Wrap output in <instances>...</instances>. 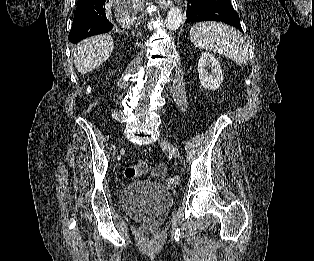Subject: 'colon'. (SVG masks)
I'll list each match as a JSON object with an SVG mask.
<instances>
[{"label":"colon","mask_w":314,"mask_h":261,"mask_svg":"<svg viewBox=\"0 0 314 261\" xmlns=\"http://www.w3.org/2000/svg\"><path fill=\"white\" fill-rule=\"evenodd\" d=\"M166 167L164 164H159L156 168L155 173L159 176L165 173ZM149 171V166L146 162H139L134 165L127 166L124 170V175L128 179H133L135 177L145 175Z\"/></svg>","instance_id":"1"}]
</instances>
